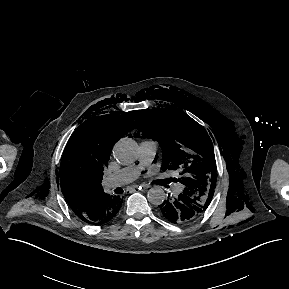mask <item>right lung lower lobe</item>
Returning <instances> with one entry per match:
<instances>
[{
  "mask_svg": "<svg viewBox=\"0 0 289 289\" xmlns=\"http://www.w3.org/2000/svg\"><path fill=\"white\" fill-rule=\"evenodd\" d=\"M123 198L119 196H110L102 194L98 197L94 204L84 213L77 215L81 220L93 224L100 225L108 222L119 211Z\"/></svg>",
  "mask_w": 289,
  "mask_h": 289,
  "instance_id": "right-lung-lower-lobe-1",
  "label": "right lung lower lobe"
}]
</instances>
